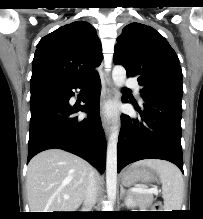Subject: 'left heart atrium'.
<instances>
[{
  "label": "left heart atrium",
  "mask_w": 203,
  "mask_h": 219,
  "mask_svg": "<svg viewBox=\"0 0 203 219\" xmlns=\"http://www.w3.org/2000/svg\"><path fill=\"white\" fill-rule=\"evenodd\" d=\"M106 110H107L106 112H107V114H108V112H109V111H108V110H109V108H108V109H106Z\"/></svg>",
  "instance_id": "1"
}]
</instances>
